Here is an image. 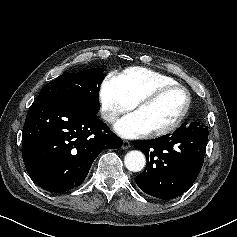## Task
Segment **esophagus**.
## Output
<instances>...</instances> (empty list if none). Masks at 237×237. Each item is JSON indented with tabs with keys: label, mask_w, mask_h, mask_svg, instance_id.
Masks as SVG:
<instances>
[{
	"label": "esophagus",
	"mask_w": 237,
	"mask_h": 237,
	"mask_svg": "<svg viewBox=\"0 0 237 237\" xmlns=\"http://www.w3.org/2000/svg\"><path fill=\"white\" fill-rule=\"evenodd\" d=\"M131 147V143L127 140H124L123 143H122V149H128Z\"/></svg>",
	"instance_id": "esophagus-1"
}]
</instances>
